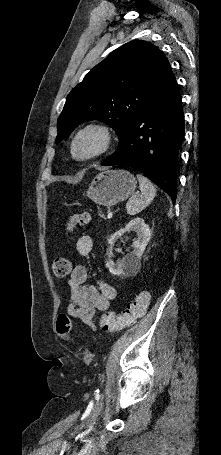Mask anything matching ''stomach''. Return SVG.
<instances>
[{"mask_svg": "<svg viewBox=\"0 0 221 455\" xmlns=\"http://www.w3.org/2000/svg\"><path fill=\"white\" fill-rule=\"evenodd\" d=\"M136 186L137 181L130 172L106 170L92 180L86 195L96 204L110 207L126 200Z\"/></svg>", "mask_w": 221, "mask_h": 455, "instance_id": "0dacf381", "label": "stomach"}]
</instances>
